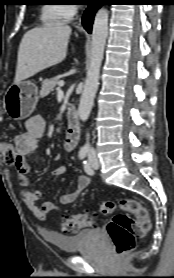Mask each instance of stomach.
Listing matches in <instances>:
<instances>
[{"mask_svg": "<svg viewBox=\"0 0 174 278\" xmlns=\"http://www.w3.org/2000/svg\"><path fill=\"white\" fill-rule=\"evenodd\" d=\"M38 100V88L33 82H14L4 95L3 107L11 119L22 120L33 113Z\"/></svg>", "mask_w": 174, "mask_h": 278, "instance_id": "1", "label": "stomach"}]
</instances>
